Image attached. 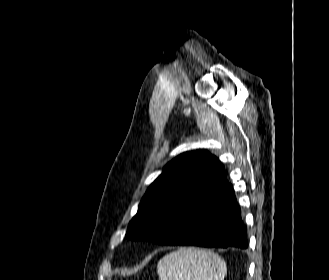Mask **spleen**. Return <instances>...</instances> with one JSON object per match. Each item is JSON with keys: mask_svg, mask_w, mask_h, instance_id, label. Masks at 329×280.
I'll list each match as a JSON object with an SVG mask.
<instances>
[{"mask_svg": "<svg viewBox=\"0 0 329 280\" xmlns=\"http://www.w3.org/2000/svg\"><path fill=\"white\" fill-rule=\"evenodd\" d=\"M157 273L160 280H224L227 268L211 250L188 247L160 259Z\"/></svg>", "mask_w": 329, "mask_h": 280, "instance_id": "obj_1", "label": "spleen"}]
</instances>
